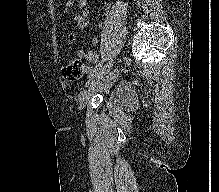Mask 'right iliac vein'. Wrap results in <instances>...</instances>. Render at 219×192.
<instances>
[{"mask_svg": "<svg viewBox=\"0 0 219 192\" xmlns=\"http://www.w3.org/2000/svg\"><path fill=\"white\" fill-rule=\"evenodd\" d=\"M112 66L113 61H110L102 66L99 70H97L94 74H92L91 79L87 83V87H89V90H84L79 95V101L81 105L84 106L87 104L90 98L91 90L94 89L95 83L102 79L109 72Z\"/></svg>", "mask_w": 219, "mask_h": 192, "instance_id": "1", "label": "right iliac vein"}]
</instances>
